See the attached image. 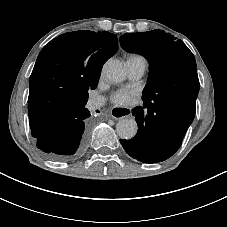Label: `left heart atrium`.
Returning a JSON list of instances; mask_svg holds the SVG:
<instances>
[{
    "label": "left heart atrium",
    "instance_id": "39dd6f15",
    "mask_svg": "<svg viewBox=\"0 0 227 227\" xmlns=\"http://www.w3.org/2000/svg\"><path fill=\"white\" fill-rule=\"evenodd\" d=\"M135 93L132 91H122L114 96L113 101L121 106H128L134 102Z\"/></svg>",
    "mask_w": 227,
    "mask_h": 227
}]
</instances>
